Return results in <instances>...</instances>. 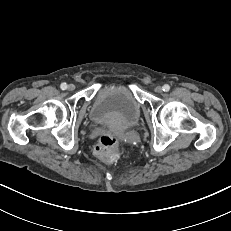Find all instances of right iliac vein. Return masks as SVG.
<instances>
[{
	"instance_id": "obj_1",
	"label": "right iliac vein",
	"mask_w": 231,
	"mask_h": 231,
	"mask_svg": "<svg viewBox=\"0 0 231 231\" xmlns=\"http://www.w3.org/2000/svg\"><path fill=\"white\" fill-rule=\"evenodd\" d=\"M67 89H68L69 91H73V90L75 89V85H74V84H69V85L67 86Z\"/></svg>"
}]
</instances>
